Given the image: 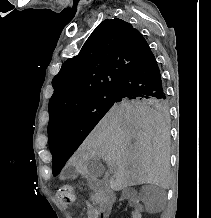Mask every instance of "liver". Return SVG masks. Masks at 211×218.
<instances>
[{
    "instance_id": "6515ba94",
    "label": "liver",
    "mask_w": 211,
    "mask_h": 218,
    "mask_svg": "<svg viewBox=\"0 0 211 218\" xmlns=\"http://www.w3.org/2000/svg\"><path fill=\"white\" fill-rule=\"evenodd\" d=\"M169 138L167 122L156 110L113 106L68 166L87 176L88 160L103 158L109 166H117L114 190L137 184L169 188Z\"/></svg>"
}]
</instances>
